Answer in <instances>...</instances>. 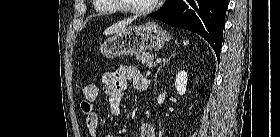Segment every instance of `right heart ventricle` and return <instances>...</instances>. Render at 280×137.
<instances>
[{"label":"right heart ventricle","mask_w":280,"mask_h":137,"mask_svg":"<svg viewBox=\"0 0 280 137\" xmlns=\"http://www.w3.org/2000/svg\"><path fill=\"white\" fill-rule=\"evenodd\" d=\"M95 11L106 16L117 13V9L108 5V0H95Z\"/></svg>","instance_id":"right-heart-ventricle-1"}]
</instances>
